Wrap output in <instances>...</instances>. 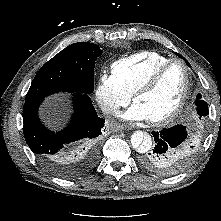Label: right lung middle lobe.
Instances as JSON below:
<instances>
[{
  "label": "right lung middle lobe",
  "instance_id": "obj_1",
  "mask_svg": "<svg viewBox=\"0 0 221 221\" xmlns=\"http://www.w3.org/2000/svg\"><path fill=\"white\" fill-rule=\"evenodd\" d=\"M102 52L94 43L69 45L41 67L25 101L42 100L61 91L91 94L94 91L95 60Z\"/></svg>",
  "mask_w": 221,
  "mask_h": 221
}]
</instances>
